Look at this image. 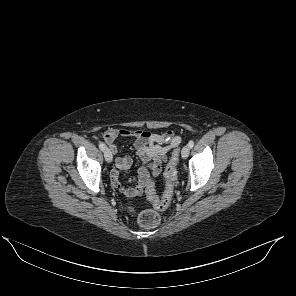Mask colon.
I'll list each match as a JSON object with an SVG mask.
<instances>
[{"instance_id":"5ec220e1","label":"colon","mask_w":296,"mask_h":296,"mask_svg":"<svg viewBox=\"0 0 296 296\" xmlns=\"http://www.w3.org/2000/svg\"><path fill=\"white\" fill-rule=\"evenodd\" d=\"M179 150L176 149L172 153V157L169 161L167 168L165 169L164 176L166 179V188L162 198H159L155 191V185L153 176H149L145 186V193L148 199L153 203L156 210H165L169 207L173 191L174 183L176 179L175 166L178 162ZM138 223L144 228H155L159 225L161 218L157 211L155 210H143L137 215Z\"/></svg>"}]
</instances>
